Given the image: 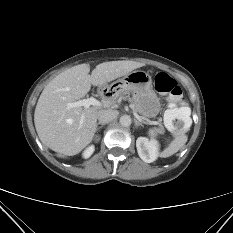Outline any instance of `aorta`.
Listing matches in <instances>:
<instances>
[{"label": "aorta", "mask_w": 233, "mask_h": 233, "mask_svg": "<svg viewBox=\"0 0 233 233\" xmlns=\"http://www.w3.org/2000/svg\"><path fill=\"white\" fill-rule=\"evenodd\" d=\"M119 123L122 127H128L131 125V118L129 115H123L119 119Z\"/></svg>", "instance_id": "762f6f07"}]
</instances>
